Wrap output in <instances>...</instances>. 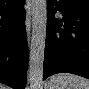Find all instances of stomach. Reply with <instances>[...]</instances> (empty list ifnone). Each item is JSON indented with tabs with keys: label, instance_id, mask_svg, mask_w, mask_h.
Instances as JSON below:
<instances>
[{
	"label": "stomach",
	"instance_id": "1",
	"mask_svg": "<svg viewBox=\"0 0 89 89\" xmlns=\"http://www.w3.org/2000/svg\"><path fill=\"white\" fill-rule=\"evenodd\" d=\"M49 87V86H48ZM49 89H56V88H53V87H49Z\"/></svg>",
	"mask_w": 89,
	"mask_h": 89
}]
</instances>
